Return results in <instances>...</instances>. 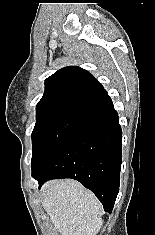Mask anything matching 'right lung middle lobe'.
Returning a JSON list of instances; mask_svg holds the SVG:
<instances>
[{"label":"right lung middle lobe","instance_id":"1","mask_svg":"<svg viewBox=\"0 0 155 235\" xmlns=\"http://www.w3.org/2000/svg\"><path fill=\"white\" fill-rule=\"evenodd\" d=\"M90 123L61 112H39L32 132V172L44 169L75 135Z\"/></svg>","mask_w":155,"mask_h":235}]
</instances>
